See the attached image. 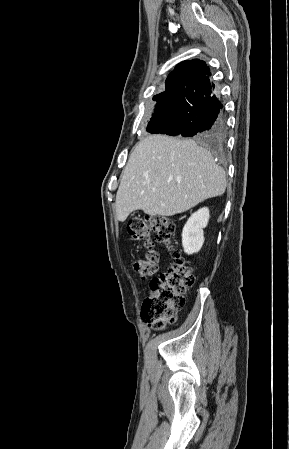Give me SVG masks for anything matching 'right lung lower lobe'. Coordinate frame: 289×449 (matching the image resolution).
<instances>
[{"instance_id": "1", "label": "right lung lower lobe", "mask_w": 289, "mask_h": 449, "mask_svg": "<svg viewBox=\"0 0 289 449\" xmlns=\"http://www.w3.org/2000/svg\"><path fill=\"white\" fill-rule=\"evenodd\" d=\"M168 98L173 119L158 133L211 138L224 132L223 105L209 79H180L170 86Z\"/></svg>"}]
</instances>
